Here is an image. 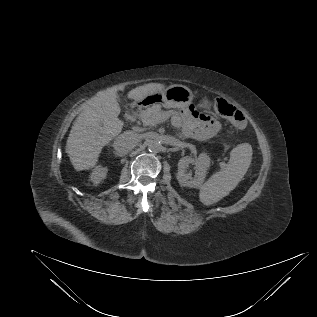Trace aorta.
I'll use <instances>...</instances> for the list:
<instances>
[{"label": "aorta", "mask_w": 317, "mask_h": 317, "mask_svg": "<svg viewBox=\"0 0 317 317\" xmlns=\"http://www.w3.org/2000/svg\"><path fill=\"white\" fill-rule=\"evenodd\" d=\"M162 149V144L159 140H150L148 142V150L152 153H159Z\"/></svg>", "instance_id": "obj_1"}]
</instances>
